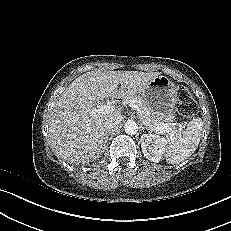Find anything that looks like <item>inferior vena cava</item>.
<instances>
[{"instance_id":"602c4592","label":"inferior vena cava","mask_w":231,"mask_h":231,"mask_svg":"<svg viewBox=\"0 0 231 231\" xmlns=\"http://www.w3.org/2000/svg\"><path fill=\"white\" fill-rule=\"evenodd\" d=\"M121 120L120 119H110L106 122V129L107 131L111 132L113 131L115 128L118 127V125L120 124Z\"/></svg>"}]
</instances>
